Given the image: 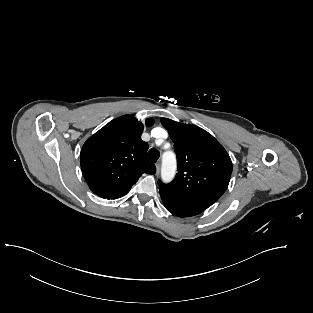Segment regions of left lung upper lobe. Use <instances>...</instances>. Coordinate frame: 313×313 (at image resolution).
I'll use <instances>...</instances> for the list:
<instances>
[{
	"mask_svg": "<svg viewBox=\"0 0 313 313\" xmlns=\"http://www.w3.org/2000/svg\"><path fill=\"white\" fill-rule=\"evenodd\" d=\"M174 142L177 169L169 184L158 181L159 190L193 206L207 209L228 187L232 162L223 146L208 132L195 126L162 118Z\"/></svg>",
	"mask_w": 313,
	"mask_h": 313,
	"instance_id": "5c2ea615",
	"label": "left lung upper lobe"
}]
</instances>
